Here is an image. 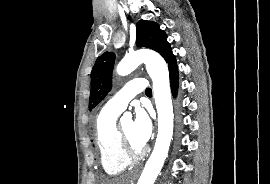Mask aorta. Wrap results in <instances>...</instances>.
<instances>
[{"mask_svg":"<svg viewBox=\"0 0 270 184\" xmlns=\"http://www.w3.org/2000/svg\"><path fill=\"white\" fill-rule=\"evenodd\" d=\"M141 63L153 81L154 98L158 113V134L154 149L137 184H154L167 157L173 136V106L171 100L169 71L165 60L154 51H137L127 54L118 64L116 71L125 76ZM131 115L125 113L123 118Z\"/></svg>","mask_w":270,"mask_h":184,"instance_id":"obj_1","label":"aorta"}]
</instances>
